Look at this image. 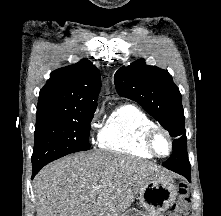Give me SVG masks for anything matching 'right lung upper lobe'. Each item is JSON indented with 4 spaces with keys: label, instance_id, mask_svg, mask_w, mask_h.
Instances as JSON below:
<instances>
[{
    "label": "right lung upper lobe",
    "instance_id": "obj_1",
    "mask_svg": "<svg viewBox=\"0 0 221 216\" xmlns=\"http://www.w3.org/2000/svg\"><path fill=\"white\" fill-rule=\"evenodd\" d=\"M100 88L99 70L88 60L53 71L39 94L36 123L95 110Z\"/></svg>",
    "mask_w": 221,
    "mask_h": 216
}]
</instances>
